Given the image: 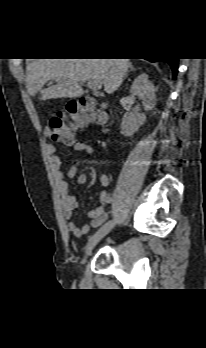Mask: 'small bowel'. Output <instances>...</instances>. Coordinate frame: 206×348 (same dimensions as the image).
Returning a JSON list of instances; mask_svg holds the SVG:
<instances>
[{
  "mask_svg": "<svg viewBox=\"0 0 206 348\" xmlns=\"http://www.w3.org/2000/svg\"><path fill=\"white\" fill-rule=\"evenodd\" d=\"M71 148L75 152H86L88 154L93 153V148L89 144L81 141L72 143ZM46 153L49 157V163L52 170L54 182L60 195L63 215L68 221L67 230L76 237L84 236L89 232L91 228L99 226L107 219L108 214L105 211V207L110 203L111 198L108 196L106 191H101L99 195V205L96 208L90 210L88 213V216L90 218L89 224L78 227L75 222L71 220L74 215V211L78 207V200L70 192L66 177H77V182L79 184H85L87 182V176L85 174L78 173L77 163L71 166L65 174L62 170L61 159L57 155V150L54 145L48 144L46 146ZM100 182L104 187H107L110 184L109 178L104 174L101 175Z\"/></svg>",
  "mask_w": 206,
  "mask_h": 348,
  "instance_id": "small-bowel-1",
  "label": "small bowel"
}]
</instances>
